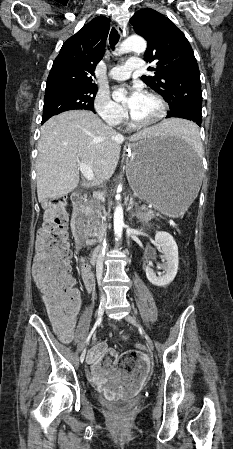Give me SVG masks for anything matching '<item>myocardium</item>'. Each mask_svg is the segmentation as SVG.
<instances>
[{"instance_id":"f54148a6","label":"myocardium","mask_w":233,"mask_h":449,"mask_svg":"<svg viewBox=\"0 0 233 449\" xmlns=\"http://www.w3.org/2000/svg\"><path fill=\"white\" fill-rule=\"evenodd\" d=\"M144 94L152 97L158 103L160 110H159L158 115L149 121H139L130 112L129 118H130L131 124L135 127H140V128H146V127L156 125L165 117V115L167 113V103L159 94H157L156 92H153V91H146Z\"/></svg>"}]
</instances>
